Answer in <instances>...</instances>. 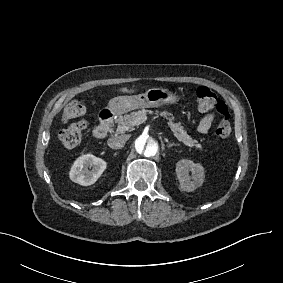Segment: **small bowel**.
Masks as SVG:
<instances>
[{"mask_svg":"<svg viewBox=\"0 0 283 283\" xmlns=\"http://www.w3.org/2000/svg\"><path fill=\"white\" fill-rule=\"evenodd\" d=\"M212 124V116L206 115L204 116L197 126V131L201 134H206L210 129Z\"/></svg>","mask_w":283,"mask_h":283,"instance_id":"small-bowel-1","label":"small bowel"}]
</instances>
